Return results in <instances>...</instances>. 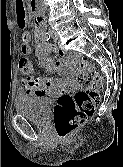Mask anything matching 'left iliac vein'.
Instances as JSON below:
<instances>
[{"instance_id": "left-iliac-vein-1", "label": "left iliac vein", "mask_w": 123, "mask_h": 167, "mask_svg": "<svg viewBox=\"0 0 123 167\" xmlns=\"http://www.w3.org/2000/svg\"><path fill=\"white\" fill-rule=\"evenodd\" d=\"M50 34L54 42H57L59 40V36L54 30H50Z\"/></svg>"}]
</instances>
